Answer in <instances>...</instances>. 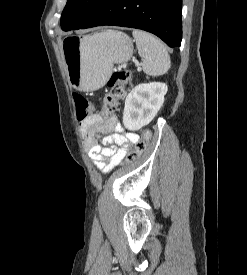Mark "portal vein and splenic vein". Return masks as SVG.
Here are the masks:
<instances>
[{
    "label": "portal vein and splenic vein",
    "mask_w": 247,
    "mask_h": 275,
    "mask_svg": "<svg viewBox=\"0 0 247 275\" xmlns=\"http://www.w3.org/2000/svg\"><path fill=\"white\" fill-rule=\"evenodd\" d=\"M141 70V68L140 67H138V71H140Z\"/></svg>",
    "instance_id": "1"
}]
</instances>
